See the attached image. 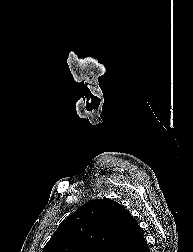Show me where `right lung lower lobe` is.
Returning a JSON list of instances; mask_svg holds the SVG:
<instances>
[{"label": "right lung lower lobe", "mask_w": 193, "mask_h": 252, "mask_svg": "<svg viewBox=\"0 0 193 252\" xmlns=\"http://www.w3.org/2000/svg\"><path fill=\"white\" fill-rule=\"evenodd\" d=\"M131 252H150L144 238L131 250Z\"/></svg>", "instance_id": "right-lung-lower-lobe-1"}]
</instances>
